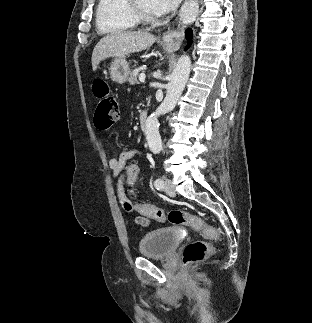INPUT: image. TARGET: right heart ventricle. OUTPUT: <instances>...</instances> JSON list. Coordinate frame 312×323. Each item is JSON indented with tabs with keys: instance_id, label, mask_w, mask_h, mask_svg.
Here are the masks:
<instances>
[{
	"instance_id": "e07e8e85",
	"label": "right heart ventricle",
	"mask_w": 312,
	"mask_h": 323,
	"mask_svg": "<svg viewBox=\"0 0 312 323\" xmlns=\"http://www.w3.org/2000/svg\"><path fill=\"white\" fill-rule=\"evenodd\" d=\"M139 18L138 13L127 9L126 1H96L94 25L100 33H117V29H133Z\"/></svg>"
}]
</instances>
